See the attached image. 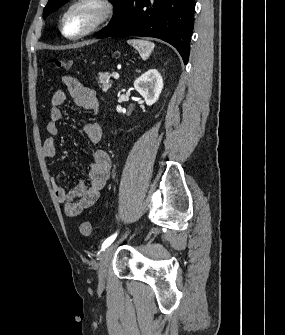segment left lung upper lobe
I'll list each match as a JSON object with an SVG mask.
<instances>
[{
    "mask_svg": "<svg viewBox=\"0 0 285 335\" xmlns=\"http://www.w3.org/2000/svg\"><path fill=\"white\" fill-rule=\"evenodd\" d=\"M66 1L67 0H49L43 11V18L45 19L51 12L55 11ZM109 1L113 3L114 8L118 5L119 2H121V0H109Z\"/></svg>",
    "mask_w": 285,
    "mask_h": 335,
    "instance_id": "5c2ea615",
    "label": "left lung upper lobe"
}]
</instances>
